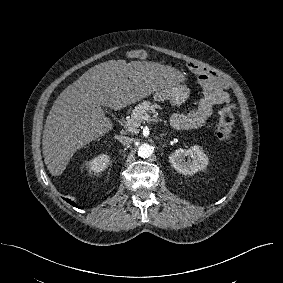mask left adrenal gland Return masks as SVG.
Segmentation results:
<instances>
[{"label":"left adrenal gland","instance_id":"1","mask_svg":"<svg viewBox=\"0 0 283 283\" xmlns=\"http://www.w3.org/2000/svg\"><path fill=\"white\" fill-rule=\"evenodd\" d=\"M166 134H161V137L165 136Z\"/></svg>","mask_w":283,"mask_h":283}]
</instances>
